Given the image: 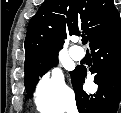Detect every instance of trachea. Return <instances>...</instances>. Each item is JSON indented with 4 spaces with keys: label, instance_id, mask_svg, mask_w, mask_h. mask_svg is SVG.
Returning a JSON list of instances; mask_svg holds the SVG:
<instances>
[{
    "label": "trachea",
    "instance_id": "1",
    "mask_svg": "<svg viewBox=\"0 0 121 113\" xmlns=\"http://www.w3.org/2000/svg\"><path fill=\"white\" fill-rule=\"evenodd\" d=\"M87 41H88L87 37H83V38H82V43H83V44H86Z\"/></svg>",
    "mask_w": 121,
    "mask_h": 113
}]
</instances>
